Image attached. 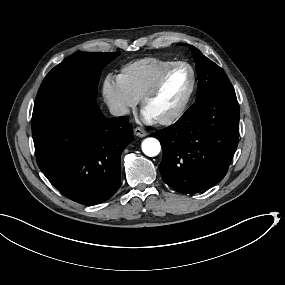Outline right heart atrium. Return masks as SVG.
I'll list each match as a JSON object with an SVG mask.
<instances>
[{
	"mask_svg": "<svg viewBox=\"0 0 285 285\" xmlns=\"http://www.w3.org/2000/svg\"><path fill=\"white\" fill-rule=\"evenodd\" d=\"M101 88L106 105L116 116H126L138 102V99L119 82L117 75L113 72L105 74Z\"/></svg>",
	"mask_w": 285,
	"mask_h": 285,
	"instance_id": "1",
	"label": "right heart atrium"
}]
</instances>
